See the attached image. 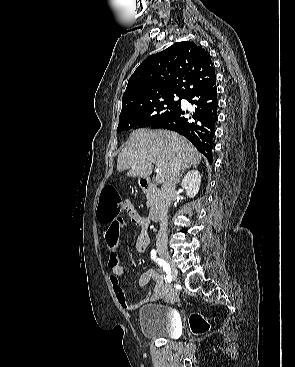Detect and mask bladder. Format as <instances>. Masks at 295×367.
<instances>
[{"instance_id":"1","label":"bladder","mask_w":295,"mask_h":367,"mask_svg":"<svg viewBox=\"0 0 295 367\" xmlns=\"http://www.w3.org/2000/svg\"><path fill=\"white\" fill-rule=\"evenodd\" d=\"M139 326L147 338H174L177 334V312L161 303H148L140 308Z\"/></svg>"}]
</instances>
